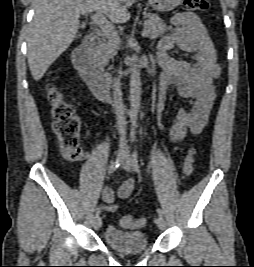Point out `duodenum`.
<instances>
[{
  "mask_svg": "<svg viewBox=\"0 0 254 267\" xmlns=\"http://www.w3.org/2000/svg\"><path fill=\"white\" fill-rule=\"evenodd\" d=\"M101 45L102 41L98 34H88L84 42L74 50L73 63L93 93L101 100H110L108 74L97 64L94 58ZM153 70L154 65L150 61L147 66V73L151 74Z\"/></svg>",
  "mask_w": 254,
  "mask_h": 267,
  "instance_id": "410a0bca",
  "label": "duodenum"
}]
</instances>
